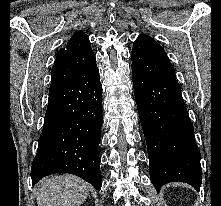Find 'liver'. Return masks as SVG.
Here are the masks:
<instances>
[{"instance_id":"obj_1","label":"liver","mask_w":221,"mask_h":206,"mask_svg":"<svg viewBox=\"0 0 221 206\" xmlns=\"http://www.w3.org/2000/svg\"><path fill=\"white\" fill-rule=\"evenodd\" d=\"M90 185L74 175H61L40 181L38 206H80L89 195Z\"/></svg>"}]
</instances>
